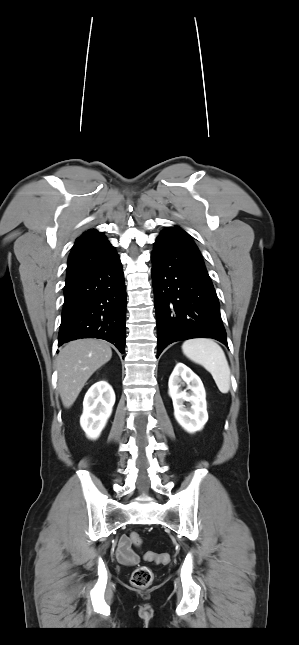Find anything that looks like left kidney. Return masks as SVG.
<instances>
[{
  "label": "left kidney",
  "instance_id": "left-kidney-1",
  "mask_svg": "<svg viewBox=\"0 0 299 645\" xmlns=\"http://www.w3.org/2000/svg\"><path fill=\"white\" fill-rule=\"evenodd\" d=\"M186 383V390L181 385ZM169 395L177 422L189 433L200 431L208 420L206 393L200 378L185 364L178 363L169 378ZM184 402H190L186 408Z\"/></svg>",
  "mask_w": 299,
  "mask_h": 645
}]
</instances>
